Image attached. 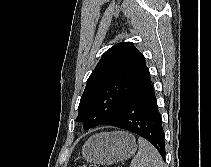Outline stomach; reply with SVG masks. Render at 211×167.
<instances>
[{
    "mask_svg": "<svg viewBox=\"0 0 211 167\" xmlns=\"http://www.w3.org/2000/svg\"><path fill=\"white\" fill-rule=\"evenodd\" d=\"M135 137L128 132H105L89 138L82 148L83 158L89 162L110 165L127 160L136 151Z\"/></svg>",
    "mask_w": 211,
    "mask_h": 167,
    "instance_id": "obj_1",
    "label": "stomach"
}]
</instances>
